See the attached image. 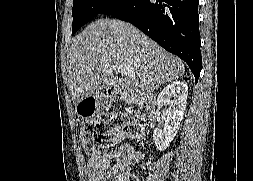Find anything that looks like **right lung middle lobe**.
<instances>
[{
	"instance_id": "right-lung-middle-lobe-1",
	"label": "right lung middle lobe",
	"mask_w": 253,
	"mask_h": 181,
	"mask_svg": "<svg viewBox=\"0 0 253 181\" xmlns=\"http://www.w3.org/2000/svg\"><path fill=\"white\" fill-rule=\"evenodd\" d=\"M129 0H74L72 9V34L99 14L112 15L122 9Z\"/></svg>"
}]
</instances>
